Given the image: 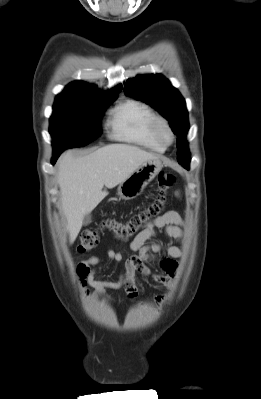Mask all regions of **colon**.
Segmentation results:
<instances>
[{
  "mask_svg": "<svg viewBox=\"0 0 261 399\" xmlns=\"http://www.w3.org/2000/svg\"><path fill=\"white\" fill-rule=\"evenodd\" d=\"M175 177L170 172L162 171L157 177V195L147 206L133 213L122 222L113 218L104 220L99 227L84 229L79 237L78 251L85 253L96 247L100 233L110 231L117 239L128 241L136 236L145 226L155 220L166 209Z\"/></svg>",
  "mask_w": 261,
  "mask_h": 399,
  "instance_id": "colon-1",
  "label": "colon"
}]
</instances>
